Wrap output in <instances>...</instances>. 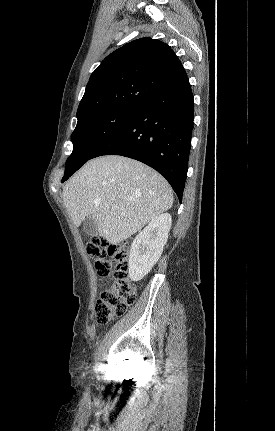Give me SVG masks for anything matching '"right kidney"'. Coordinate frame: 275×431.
Listing matches in <instances>:
<instances>
[{
  "instance_id": "ca27d5eb",
  "label": "right kidney",
  "mask_w": 275,
  "mask_h": 431,
  "mask_svg": "<svg viewBox=\"0 0 275 431\" xmlns=\"http://www.w3.org/2000/svg\"><path fill=\"white\" fill-rule=\"evenodd\" d=\"M171 223L170 214H160L135 237L128 261L129 277L132 281L141 280L159 260L168 239Z\"/></svg>"
}]
</instances>
